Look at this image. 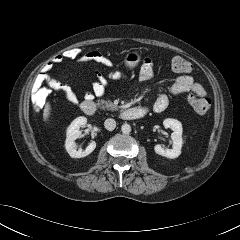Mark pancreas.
I'll return each instance as SVG.
<instances>
[{
  "mask_svg": "<svg viewBox=\"0 0 240 240\" xmlns=\"http://www.w3.org/2000/svg\"><path fill=\"white\" fill-rule=\"evenodd\" d=\"M98 106L101 107V109H108V110H118V107L112 103L110 100H98Z\"/></svg>",
  "mask_w": 240,
  "mask_h": 240,
  "instance_id": "cf45deb5",
  "label": "pancreas"
}]
</instances>
